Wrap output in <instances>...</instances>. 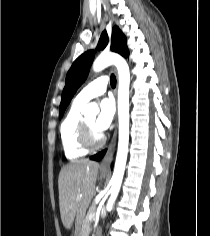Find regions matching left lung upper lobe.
<instances>
[{"label": "left lung upper lobe", "mask_w": 210, "mask_h": 236, "mask_svg": "<svg viewBox=\"0 0 210 236\" xmlns=\"http://www.w3.org/2000/svg\"><path fill=\"white\" fill-rule=\"evenodd\" d=\"M107 44L108 35L107 32L104 31L99 39L98 49H104ZM111 50L120 53L124 57H128L129 55L126 37L118 27H114L112 30ZM94 56L95 53L92 50L83 53L74 61L68 71L66 76V85L62 92L59 118H62L64 111L70 103L74 93L87 78Z\"/></svg>", "instance_id": "1"}]
</instances>
